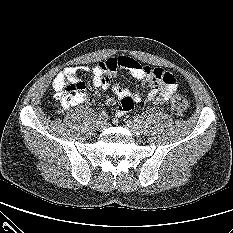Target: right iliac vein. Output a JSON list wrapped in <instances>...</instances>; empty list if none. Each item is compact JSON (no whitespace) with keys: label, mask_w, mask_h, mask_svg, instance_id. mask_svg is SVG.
<instances>
[{"label":"right iliac vein","mask_w":233,"mask_h":233,"mask_svg":"<svg viewBox=\"0 0 233 233\" xmlns=\"http://www.w3.org/2000/svg\"><path fill=\"white\" fill-rule=\"evenodd\" d=\"M106 126H107V123L102 119H100L96 124V128H97L98 131L105 130Z\"/></svg>","instance_id":"obj_1"}]
</instances>
